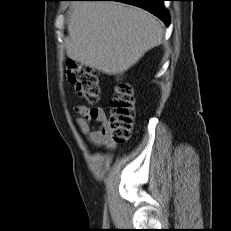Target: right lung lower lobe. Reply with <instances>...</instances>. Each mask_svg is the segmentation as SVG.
<instances>
[{"instance_id":"right-lung-lower-lobe-1","label":"right lung lower lobe","mask_w":231,"mask_h":231,"mask_svg":"<svg viewBox=\"0 0 231 231\" xmlns=\"http://www.w3.org/2000/svg\"><path fill=\"white\" fill-rule=\"evenodd\" d=\"M81 1H119L139 6L157 17H159L165 24L169 25V15L166 12L163 1L164 0H81Z\"/></svg>"}]
</instances>
